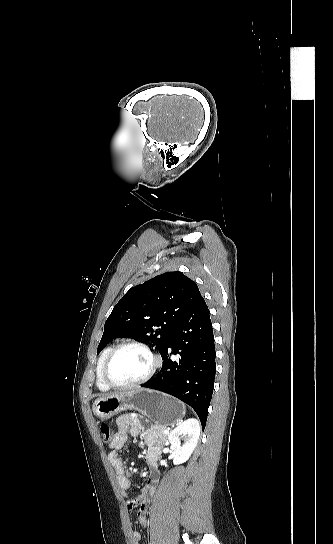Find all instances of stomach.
<instances>
[{
	"mask_svg": "<svg viewBox=\"0 0 333 544\" xmlns=\"http://www.w3.org/2000/svg\"><path fill=\"white\" fill-rule=\"evenodd\" d=\"M136 410L148 417L156 426L168 427L176 424L184 414L180 401L153 390L137 389L104 398L93 403V412L101 420L122 411Z\"/></svg>",
	"mask_w": 333,
	"mask_h": 544,
	"instance_id": "0dacf381",
	"label": "stomach"
}]
</instances>
